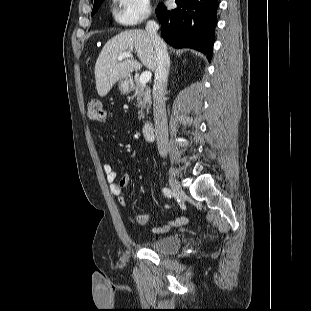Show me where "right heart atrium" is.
Segmentation results:
<instances>
[{
	"mask_svg": "<svg viewBox=\"0 0 311 311\" xmlns=\"http://www.w3.org/2000/svg\"><path fill=\"white\" fill-rule=\"evenodd\" d=\"M114 18L125 29H133L151 12L150 0H113Z\"/></svg>",
	"mask_w": 311,
	"mask_h": 311,
	"instance_id": "right-heart-atrium-1",
	"label": "right heart atrium"
}]
</instances>
